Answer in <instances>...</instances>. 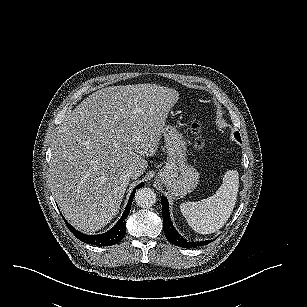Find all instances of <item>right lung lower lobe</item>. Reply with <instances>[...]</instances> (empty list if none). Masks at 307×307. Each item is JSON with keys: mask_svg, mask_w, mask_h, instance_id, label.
I'll use <instances>...</instances> for the list:
<instances>
[{"mask_svg": "<svg viewBox=\"0 0 307 307\" xmlns=\"http://www.w3.org/2000/svg\"><path fill=\"white\" fill-rule=\"evenodd\" d=\"M144 186V183L139 184L138 186L135 187L133 190L128 204L125 208V211L120 218V220L116 223V225L109 231L99 234V235H85L77 231L75 228H73L65 219V223L69 230L82 242L91 244V245H96V246H111L114 245L118 242H120L126 233V228H125V218L128 216L131 208V203L133 200V196L136 192V189H139Z\"/></svg>", "mask_w": 307, "mask_h": 307, "instance_id": "right-lung-lower-lobe-1", "label": "right lung lower lobe"}]
</instances>
